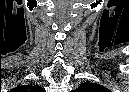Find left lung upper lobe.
Returning a JSON list of instances; mask_svg holds the SVG:
<instances>
[{"label":"left lung upper lobe","mask_w":129,"mask_h":92,"mask_svg":"<svg viewBox=\"0 0 129 92\" xmlns=\"http://www.w3.org/2000/svg\"><path fill=\"white\" fill-rule=\"evenodd\" d=\"M76 92H110L107 88L100 86L97 83H91L89 81L81 84L76 90Z\"/></svg>","instance_id":"left-lung-upper-lobe-1"}]
</instances>
